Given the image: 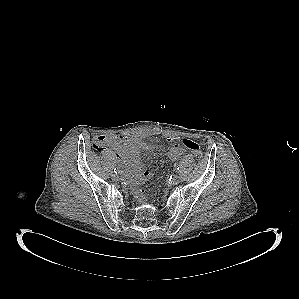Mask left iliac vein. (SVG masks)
Returning <instances> with one entry per match:
<instances>
[{
    "instance_id": "4c4485c4",
    "label": "left iliac vein",
    "mask_w": 299,
    "mask_h": 299,
    "mask_svg": "<svg viewBox=\"0 0 299 299\" xmlns=\"http://www.w3.org/2000/svg\"><path fill=\"white\" fill-rule=\"evenodd\" d=\"M180 181V176L179 175H174L173 178H172V184L173 185H176L178 184Z\"/></svg>"
}]
</instances>
